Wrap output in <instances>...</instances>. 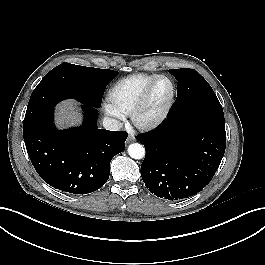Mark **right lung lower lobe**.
<instances>
[{
  "label": "right lung lower lobe",
  "mask_w": 265,
  "mask_h": 265,
  "mask_svg": "<svg viewBox=\"0 0 265 265\" xmlns=\"http://www.w3.org/2000/svg\"><path fill=\"white\" fill-rule=\"evenodd\" d=\"M81 128L59 131L52 109L23 124L28 155L40 177L70 194H87L101 188L109 178L112 158L125 149L124 131L98 129L96 107L83 105Z\"/></svg>",
  "instance_id": "right-lung-lower-lobe-1"
}]
</instances>
